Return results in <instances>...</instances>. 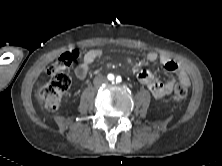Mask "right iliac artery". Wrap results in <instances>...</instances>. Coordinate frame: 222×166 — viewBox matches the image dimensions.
Here are the masks:
<instances>
[{
    "label": "right iliac artery",
    "instance_id": "right-iliac-artery-1",
    "mask_svg": "<svg viewBox=\"0 0 222 166\" xmlns=\"http://www.w3.org/2000/svg\"><path fill=\"white\" fill-rule=\"evenodd\" d=\"M107 78L108 80L113 81L115 77L113 74H108Z\"/></svg>",
    "mask_w": 222,
    "mask_h": 166
}]
</instances>
